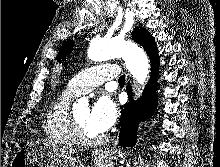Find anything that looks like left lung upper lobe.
<instances>
[{"label":"left lung upper lobe","instance_id":"5c2ea615","mask_svg":"<svg viewBox=\"0 0 220 167\" xmlns=\"http://www.w3.org/2000/svg\"><path fill=\"white\" fill-rule=\"evenodd\" d=\"M132 38L133 40H135L137 43H139L140 45H142L146 52L148 53V55L150 54H156L157 53V48H156V44L154 42V39L152 36H150V34L143 30V29H139L137 28L133 34H132ZM73 48V43L71 41H66L62 47L60 48V51L58 53L57 56V61L58 62H62L67 55H69L72 51Z\"/></svg>","mask_w":220,"mask_h":167}]
</instances>
